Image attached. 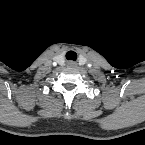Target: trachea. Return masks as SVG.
<instances>
[{"label": "trachea", "instance_id": "3493384b", "mask_svg": "<svg viewBox=\"0 0 145 145\" xmlns=\"http://www.w3.org/2000/svg\"><path fill=\"white\" fill-rule=\"evenodd\" d=\"M66 59H67V60H73V61H75V60L77 59V54H76V52H74V51H68V52L66 53Z\"/></svg>", "mask_w": 145, "mask_h": 145}]
</instances>
